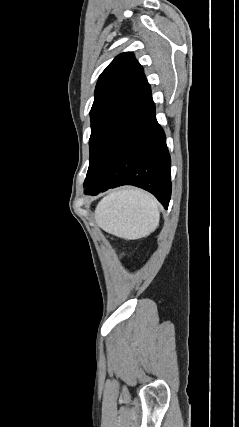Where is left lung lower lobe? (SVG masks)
I'll use <instances>...</instances> for the list:
<instances>
[{"label":"left lung lower lobe","mask_w":239,"mask_h":427,"mask_svg":"<svg viewBox=\"0 0 239 427\" xmlns=\"http://www.w3.org/2000/svg\"><path fill=\"white\" fill-rule=\"evenodd\" d=\"M151 99L113 136L86 184V195L121 185L152 193L167 209L171 197V159Z\"/></svg>","instance_id":"left-lung-lower-lobe-1"}]
</instances>
